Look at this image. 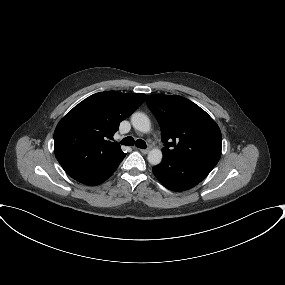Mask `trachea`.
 I'll list each match as a JSON object with an SVG mask.
<instances>
[{"label": "trachea", "instance_id": "obj_1", "mask_svg": "<svg viewBox=\"0 0 285 285\" xmlns=\"http://www.w3.org/2000/svg\"><path fill=\"white\" fill-rule=\"evenodd\" d=\"M122 145H126V146H133L135 144L136 147L141 148V149H146V143L144 140L142 139H138V140H134L133 137H126L121 141Z\"/></svg>", "mask_w": 285, "mask_h": 285}]
</instances>
